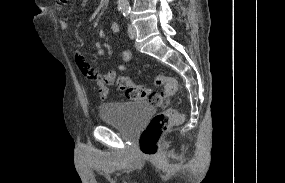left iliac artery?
Returning a JSON list of instances; mask_svg holds the SVG:
<instances>
[{
    "label": "left iliac artery",
    "instance_id": "44dca946",
    "mask_svg": "<svg viewBox=\"0 0 285 183\" xmlns=\"http://www.w3.org/2000/svg\"><path fill=\"white\" fill-rule=\"evenodd\" d=\"M122 11H123V15L125 17H127L129 15V13H130V7H123Z\"/></svg>",
    "mask_w": 285,
    "mask_h": 183
}]
</instances>
